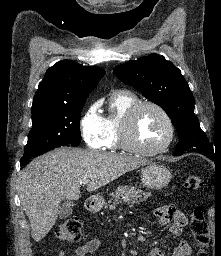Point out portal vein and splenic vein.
Segmentation results:
<instances>
[{
  "label": "portal vein and splenic vein",
  "mask_w": 221,
  "mask_h": 256,
  "mask_svg": "<svg viewBox=\"0 0 221 256\" xmlns=\"http://www.w3.org/2000/svg\"><path fill=\"white\" fill-rule=\"evenodd\" d=\"M89 181H90L89 179H84L82 183H83V184H88Z\"/></svg>",
  "instance_id": "obj_1"
}]
</instances>
